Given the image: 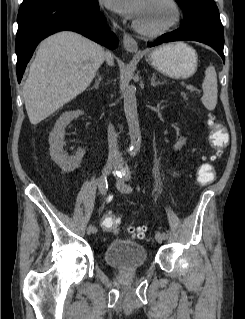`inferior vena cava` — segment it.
<instances>
[{"label": "inferior vena cava", "mask_w": 245, "mask_h": 319, "mask_svg": "<svg viewBox=\"0 0 245 319\" xmlns=\"http://www.w3.org/2000/svg\"><path fill=\"white\" fill-rule=\"evenodd\" d=\"M116 27V24L114 23ZM110 56L111 54L108 53ZM108 145H109V161L113 162H122V156L118 149V142H117V133L115 132L114 127L110 124L108 126Z\"/></svg>", "instance_id": "602c4592"}]
</instances>
